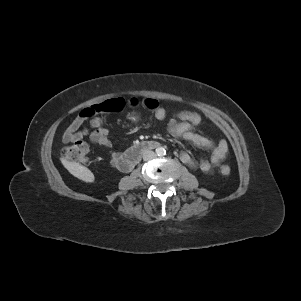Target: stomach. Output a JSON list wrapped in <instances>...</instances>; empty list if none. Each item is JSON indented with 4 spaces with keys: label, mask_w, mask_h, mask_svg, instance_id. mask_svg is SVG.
<instances>
[{
    "label": "stomach",
    "mask_w": 301,
    "mask_h": 301,
    "mask_svg": "<svg viewBox=\"0 0 301 301\" xmlns=\"http://www.w3.org/2000/svg\"><path fill=\"white\" fill-rule=\"evenodd\" d=\"M132 122H137L139 119H140V117L138 116V115H136V114H131V115H129V117H128Z\"/></svg>",
    "instance_id": "0dacf381"
}]
</instances>
